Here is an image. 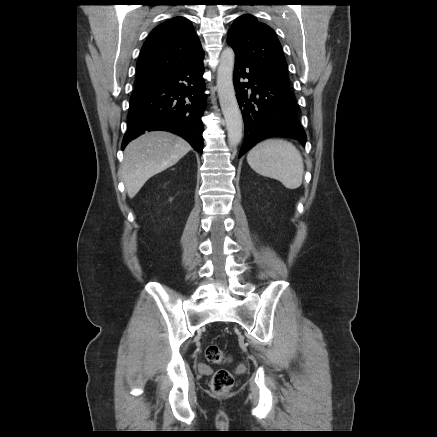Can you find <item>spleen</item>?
<instances>
[{
  "label": "spleen",
  "mask_w": 437,
  "mask_h": 437,
  "mask_svg": "<svg viewBox=\"0 0 437 437\" xmlns=\"http://www.w3.org/2000/svg\"><path fill=\"white\" fill-rule=\"evenodd\" d=\"M247 162L255 172L280 181L287 189H296L302 184L303 158L291 142L264 140L249 151Z\"/></svg>",
  "instance_id": "obj_1"
}]
</instances>
